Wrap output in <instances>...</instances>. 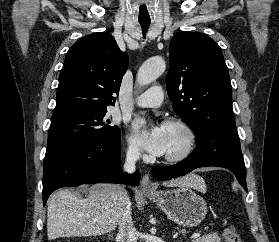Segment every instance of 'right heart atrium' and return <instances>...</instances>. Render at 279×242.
Segmentation results:
<instances>
[{"instance_id":"d8ad5b80","label":"right heart atrium","mask_w":279,"mask_h":242,"mask_svg":"<svg viewBox=\"0 0 279 242\" xmlns=\"http://www.w3.org/2000/svg\"><path fill=\"white\" fill-rule=\"evenodd\" d=\"M126 156L130 161H137L141 157L139 148L131 141L127 143Z\"/></svg>"}]
</instances>
